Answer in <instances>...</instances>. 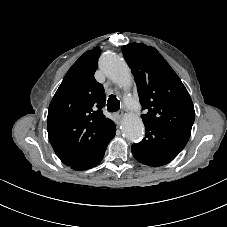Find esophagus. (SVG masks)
Listing matches in <instances>:
<instances>
[{
	"label": "esophagus",
	"mask_w": 227,
	"mask_h": 227,
	"mask_svg": "<svg viewBox=\"0 0 227 227\" xmlns=\"http://www.w3.org/2000/svg\"><path fill=\"white\" fill-rule=\"evenodd\" d=\"M115 117H116V119L118 121H120L122 119V117H123V112H117V113H115Z\"/></svg>",
	"instance_id": "34e87169"
}]
</instances>
